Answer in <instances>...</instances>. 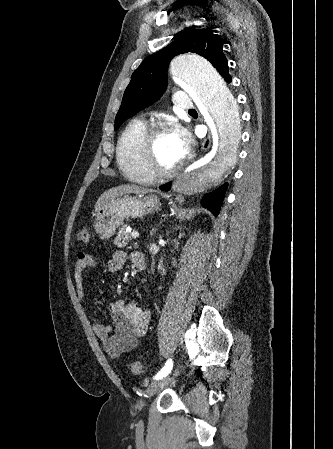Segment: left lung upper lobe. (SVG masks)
<instances>
[{
	"mask_svg": "<svg viewBox=\"0 0 333 449\" xmlns=\"http://www.w3.org/2000/svg\"><path fill=\"white\" fill-rule=\"evenodd\" d=\"M194 52L209 60L217 71L228 73L223 44L210 29L191 27L174 37L167 47L148 56L135 70L115 118V129L126 119L159 99L167 87V69L174 56Z\"/></svg>",
	"mask_w": 333,
	"mask_h": 449,
	"instance_id": "obj_1",
	"label": "left lung upper lobe"
}]
</instances>
